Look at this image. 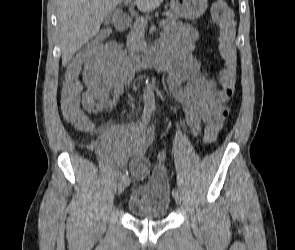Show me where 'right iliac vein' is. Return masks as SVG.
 Listing matches in <instances>:
<instances>
[{"mask_svg": "<svg viewBox=\"0 0 295 250\" xmlns=\"http://www.w3.org/2000/svg\"><path fill=\"white\" fill-rule=\"evenodd\" d=\"M128 185H129V178L128 177L122 178L118 184V194L123 193L125 189L128 187Z\"/></svg>", "mask_w": 295, "mask_h": 250, "instance_id": "1", "label": "right iliac vein"}]
</instances>
